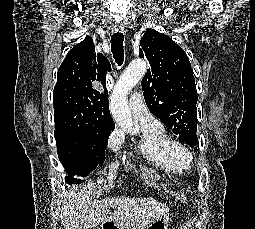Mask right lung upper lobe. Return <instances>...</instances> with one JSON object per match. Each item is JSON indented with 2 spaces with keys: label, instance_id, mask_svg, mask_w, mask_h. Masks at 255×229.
<instances>
[{
  "label": "right lung upper lobe",
  "instance_id": "obj_1",
  "mask_svg": "<svg viewBox=\"0 0 255 229\" xmlns=\"http://www.w3.org/2000/svg\"><path fill=\"white\" fill-rule=\"evenodd\" d=\"M110 62L95 53L90 36L75 45L58 69L57 84L53 92L54 122L57 131L103 132L115 128L110 115L106 74ZM102 88L96 89L93 82Z\"/></svg>",
  "mask_w": 255,
  "mask_h": 229
}]
</instances>
